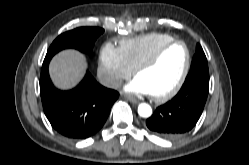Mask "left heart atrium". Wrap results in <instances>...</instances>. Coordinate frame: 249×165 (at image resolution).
Listing matches in <instances>:
<instances>
[{"label": "left heart atrium", "instance_id": "39dd6f15", "mask_svg": "<svg viewBox=\"0 0 249 165\" xmlns=\"http://www.w3.org/2000/svg\"><path fill=\"white\" fill-rule=\"evenodd\" d=\"M124 90L130 94H140V95H150V91L145 86V84L139 79L135 78L131 82H129Z\"/></svg>", "mask_w": 249, "mask_h": 165}]
</instances>
